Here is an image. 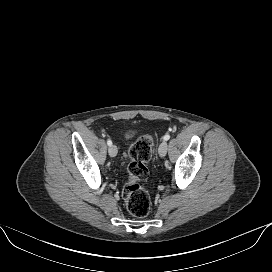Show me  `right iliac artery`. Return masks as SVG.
<instances>
[{"label": "right iliac artery", "mask_w": 272, "mask_h": 272, "mask_svg": "<svg viewBox=\"0 0 272 272\" xmlns=\"http://www.w3.org/2000/svg\"><path fill=\"white\" fill-rule=\"evenodd\" d=\"M107 144L108 146H111L112 145V141L110 139L107 140Z\"/></svg>", "instance_id": "82829eb1"}]
</instances>
